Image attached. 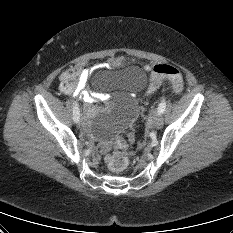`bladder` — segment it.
<instances>
[{
	"label": "bladder",
	"instance_id": "31cf9c89",
	"mask_svg": "<svg viewBox=\"0 0 233 233\" xmlns=\"http://www.w3.org/2000/svg\"><path fill=\"white\" fill-rule=\"evenodd\" d=\"M146 83V73L138 67L121 71L101 70L93 77V85L97 89H118L129 93L143 90ZM137 112V104L132 99L117 105L110 104L103 112H94L88 131L97 139H108L129 127Z\"/></svg>",
	"mask_w": 233,
	"mask_h": 233
}]
</instances>
